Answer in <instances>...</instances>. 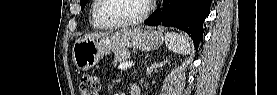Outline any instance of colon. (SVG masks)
<instances>
[{"mask_svg": "<svg viewBox=\"0 0 277 95\" xmlns=\"http://www.w3.org/2000/svg\"><path fill=\"white\" fill-rule=\"evenodd\" d=\"M100 82L95 76L85 74L80 79V93L82 95H98Z\"/></svg>", "mask_w": 277, "mask_h": 95, "instance_id": "colon-1", "label": "colon"}]
</instances>
